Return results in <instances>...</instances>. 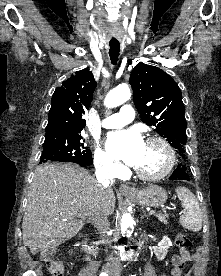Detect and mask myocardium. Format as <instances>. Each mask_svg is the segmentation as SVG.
Segmentation results:
<instances>
[{
    "label": "myocardium",
    "instance_id": "f54148a6",
    "mask_svg": "<svg viewBox=\"0 0 221 276\" xmlns=\"http://www.w3.org/2000/svg\"><path fill=\"white\" fill-rule=\"evenodd\" d=\"M146 143H158L162 146L166 155V162L164 167L156 173H146L138 168H135L136 175L142 180L156 181L166 177L174 168L176 162V155L171 144L163 137L152 135L146 139Z\"/></svg>",
    "mask_w": 221,
    "mask_h": 276
}]
</instances>
